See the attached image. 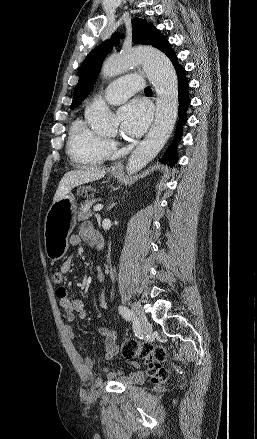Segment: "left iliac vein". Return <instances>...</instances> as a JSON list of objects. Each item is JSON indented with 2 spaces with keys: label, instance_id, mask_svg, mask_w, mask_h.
I'll return each mask as SVG.
<instances>
[{
  "label": "left iliac vein",
  "instance_id": "1",
  "mask_svg": "<svg viewBox=\"0 0 257 439\" xmlns=\"http://www.w3.org/2000/svg\"><path fill=\"white\" fill-rule=\"evenodd\" d=\"M132 308V316H133V322L136 325H139L142 331L147 332L148 331V324H147V318L145 316L143 307L140 303L134 302L131 306Z\"/></svg>",
  "mask_w": 257,
  "mask_h": 439
}]
</instances>
